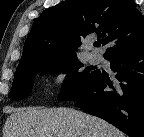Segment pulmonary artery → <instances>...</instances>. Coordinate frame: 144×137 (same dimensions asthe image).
I'll list each match as a JSON object with an SVG mask.
<instances>
[{
    "instance_id": "e3ab8cb5",
    "label": "pulmonary artery",
    "mask_w": 144,
    "mask_h": 137,
    "mask_svg": "<svg viewBox=\"0 0 144 137\" xmlns=\"http://www.w3.org/2000/svg\"><path fill=\"white\" fill-rule=\"evenodd\" d=\"M89 59H90V62L95 63L98 61V56L95 54H91Z\"/></svg>"
}]
</instances>
